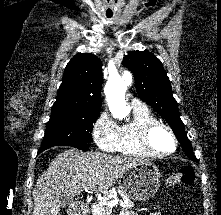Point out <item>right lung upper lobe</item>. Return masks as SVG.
<instances>
[{
	"instance_id": "right-lung-upper-lobe-1",
	"label": "right lung upper lobe",
	"mask_w": 221,
	"mask_h": 215,
	"mask_svg": "<svg viewBox=\"0 0 221 215\" xmlns=\"http://www.w3.org/2000/svg\"><path fill=\"white\" fill-rule=\"evenodd\" d=\"M101 60L91 53H79L66 65L57 100L51 113L60 111L100 112Z\"/></svg>"
}]
</instances>
